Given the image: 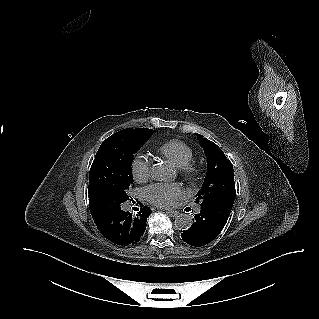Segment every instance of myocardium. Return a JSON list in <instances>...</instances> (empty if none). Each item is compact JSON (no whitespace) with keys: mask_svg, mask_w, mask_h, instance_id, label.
<instances>
[{"mask_svg":"<svg viewBox=\"0 0 319 319\" xmlns=\"http://www.w3.org/2000/svg\"><path fill=\"white\" fill-rule=\"evenodd\" d=\"M180 176L185 180H194L198 175V169L192 164H187L182 167H178Z\"/></svg>","mask_w":319,"mask_h":319,"instance_id":"1","label":"myocardium"}]
</instances>
